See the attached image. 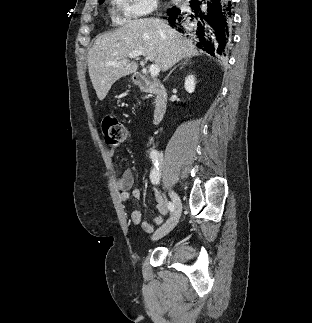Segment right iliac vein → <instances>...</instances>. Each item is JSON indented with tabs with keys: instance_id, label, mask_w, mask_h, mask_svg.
<instances>
[{
	"instance_id": "63e3f726",
	"label": "right iliac vein",
	"mask_w": 312,
	"mask_h": 323,
	"mask_svg": "<svg viewBox=\"0 0 312 323\" xmlns=\"http://www.w3.org/2000/svg\"><path fill=\"white\" fill-rule=\"evenodd\" d=\"M171 199L174 202L175 209L171 215V217L167 220L166 223H164L162 226H160L154 233L153 239H160L170 233L173 228L176 226V224L179 221V218L181 216L182 212V203L180 200V197L178 194L174 191L170 193Z\"/></svg>"
}]
</instances>
